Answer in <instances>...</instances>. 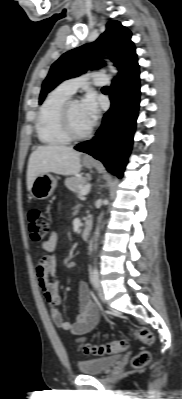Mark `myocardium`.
Returning <instances> with one entry per match:
<instances>
[{
	"mask_svg": "<svg viewBox=\"0 0 182 399\" xmlns=\"http://www.w3.org/2000/svg\"><path fill=\"white\" fill-rule=\"evenodd\" d=\"M72 100H68L60 114L61 127L65 136L71 141H81L88 138L92 133V126L84 133L78 134L73 130L71 119H70V106L72 104Z\"/></svg>",
	"mask_w": 182,
	"mask_h": 399,
	"instance_id": "obj_1",
	"label": "myocardium"
}]
</instances>
